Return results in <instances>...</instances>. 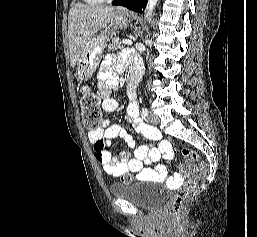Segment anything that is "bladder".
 Segmentation results:
<instances>
[{
	"mask_svg": "<svg viewBox=\"0 0 257 237\" xmlns=\"http://www.w3.org/2000/svg\"><path fill=\"white\" fill-rule=\"evenodd\" d=\"M153 181L119 183L110 186L109 191L113 197L129 201L136 207L144 210H157L168 201V192L150 186Z\"/></svg>",
	"mask_w": 257,
	"mask_h": 237,
	"instance_id": "1",
	"label": "bladder"
}]
</instances>
